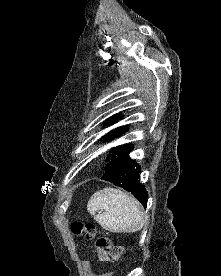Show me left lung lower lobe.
<instances>
[{
  "instance_id": "obj_1",
  "label": "left lung lower lobe",
  "mask_w": 221,
  "mask_h": 276,
  "mask_svg": "<svg viewBox=\"0 0 221 276\" xmlns=\"http://www.w3.org/2000/svg\"><path fill=\"white\" fill-rule=\"evenodd\" d=\"M133 150L121 151L110 158L104 168L101 179L109 181L116 186L122 187L131 192L144 207L147 206L148 193L140 184V166L129 157V152Z\"/></svg>"
}]
</instances>
